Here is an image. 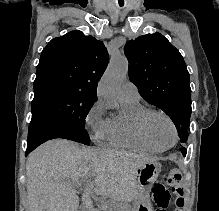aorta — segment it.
<instances>
[{
  "mask_svg": "<svg viewBox=\"0 0 219 211\" xmlns=\"http://www.w3.org/2000/svg\"><path fill=\"white\" fill-rule=\"evenodd\" d=\"M127 72L128 61L125 57L118 56L110 61L98 86V96L108 108L117 107V97Z\"/></svg>",
  "mask_w": 219,
  "mask_h": 211,
  "instance_id": "obj_1",
  "label": "aorta"
}]
</instances>
